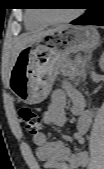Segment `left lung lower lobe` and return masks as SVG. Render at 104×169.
<instances>
[{
  "instance_id": "0a47b994",
  "label": "left lung lower lobe",
  "mask_w": 104,
  "mask_h": 169,
  "mask_svg": "<svg viewBox=\"0 0 104 169\" xmlns=\"http://www.w3.org/2000/svg\"><path fill=\"white\" fill-rule=\"evenodd\" d=\"M88 11L80 18L71 22L74 25H104V9L102 3H90Z\"/></svg>"
}]
</instances>
